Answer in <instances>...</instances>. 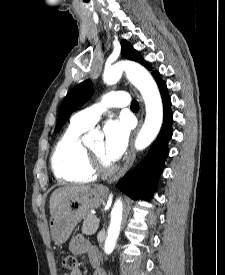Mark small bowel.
<instances>
[{"instance_id": "1", "label": "small bowel", "mask_w": 225, "mask_h": 275, "mask_svg": "<svg viewBox=\"0 0 225 275\" xmlns=\"http://www.w3.org/2000/svg\"><path fill=\"white\" fill-rule=\"evenodd\" d=\"M69 249L76 255L87 254L91 262L98 260V252L96 247L91 245L82 235H76L71 239ZM63 275H82V272L80 270H76ZM93 275H106V273L102 269H97L94 271Z\"/></svg>"}]
</instances>
